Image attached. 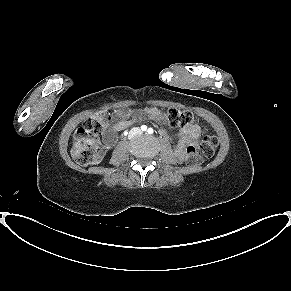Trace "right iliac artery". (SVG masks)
Listing matches in <instances>:
<instances>
[{"label": "right iliac artery", "mask_w": 291, "mask_h": 291, "mask_svg": "<svg viewBox=\"0 0 291 291\" xmlns=\"http://www.w3.org/2000/svg\"><path fill=\"white\" fill-rule=\"evenodd\" d=\"M141 130H142V131H146V130H147V126H146V125H142V126H141Z\"/></svg>", "instance_id": "right-iliac-artery-1"}]
</instances>
